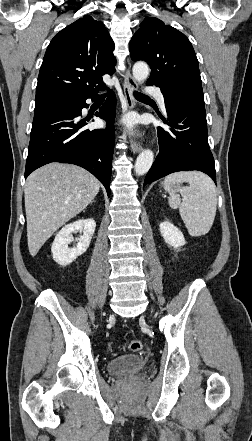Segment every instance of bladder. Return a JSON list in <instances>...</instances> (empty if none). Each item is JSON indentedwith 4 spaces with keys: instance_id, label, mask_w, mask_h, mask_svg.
I'll return each instance as SVG.
<instances>
[{
    "instance_id": "obj_1",
    "label": "bladder",
    "mask_w": 252,
    "mask_h": 441,
    "mask_svg": "<svg viewBox=\"0 0 252 441\" xmlns=\"http://www.w3.org/2000/svg\"><path fill=\"white\" fill-rule=\"evenodd\" d=\"M146 367V361L139 355H123L107 363V372L112 376H123L139 372Z\"/></svg>"
}]
</instances>
